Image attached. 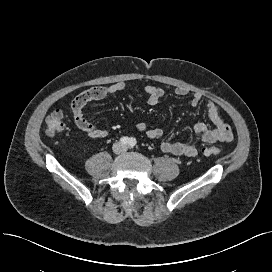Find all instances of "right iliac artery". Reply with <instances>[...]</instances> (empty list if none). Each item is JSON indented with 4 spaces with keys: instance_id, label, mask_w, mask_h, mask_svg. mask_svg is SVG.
Instances as JSON below:
<instances>
[{
    "instance_id": "right-iliac-artery-1",
    "label": "right iliac artery",
    "mask_w": 272,
    "mask_h": 272,
    "mask_svg": "<svg viewBox=\"0 0 272 272\" xmlns=\"http://www.w3.org/2000/svg\"><path fill=\"white\" fill-rule=\"evenodd\" d=\"M120 142L123 144V145H127L129 143V138L128 137H122L120 139Z\"/></svg>"
}]
</instances>
